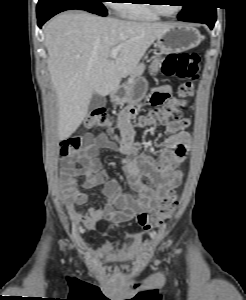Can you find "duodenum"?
Returning <instances> with one entry per match:
<instances>
[{"label":"duodenum","instance_id":"obj_1","mask_svg":"<svg viewBox=\"0 0 246 300\" xmlns=\"http://www.w3.org/2000/svg\"><path fill=\"white\" fill-rule=\"evenodd\" d=\"M114 95H115V93L111 92V93L109 94V98H110V99H113Z\"/></svg>","mask_w":246,"mask_h":300}]
</instances>
